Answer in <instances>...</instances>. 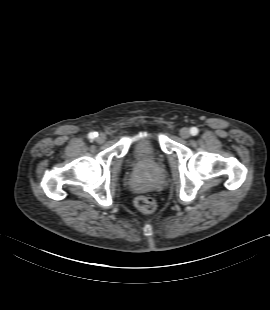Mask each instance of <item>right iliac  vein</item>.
Wrapping results in <instances>:
<instances>
[{
	"label": "right iliac vein",
	"instance_id": "right-iliac-vein-1",
	"mask_svg": "<svg viewBox=\"0 0 270 310\" xmlns=\"http://www.w3.org/2000/svg\"><path fill=\"white\" fill-rule=\"evenodd\" d=\"M105 139H106V136L104 135V134H99L97 137H96V141L98 142V143H103L104 141H105Z\"/></svg>",
	"mask_w": 270,
	"mask_h": 310
}]
</instances>
